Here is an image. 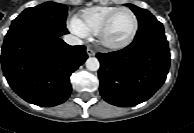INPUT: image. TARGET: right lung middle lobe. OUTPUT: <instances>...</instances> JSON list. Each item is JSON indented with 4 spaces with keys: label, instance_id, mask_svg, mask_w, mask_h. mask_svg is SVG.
<instances>
[{
    "label": "right lung middle lobe",
    "instance_id": "dd1d6c3e",
    "mask_svg": "<svg viewBox=\"0 0 194 133\" xmlns=\"http://www.w3.org/2000/svg\"><path fill=\"white\" fill-rule=\"evenodd\" d=\"M66 16L67 6L55 2H46L36 7L25 9L12 21L11 27H15L20 23L37 21H53L65 25Z\"/></svg>",
    "mask_w": 194,
    "mask_h": 133
}]
</instances>
